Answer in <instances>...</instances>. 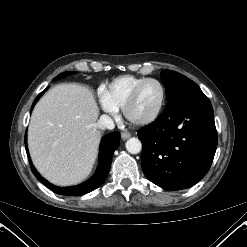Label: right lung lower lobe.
Instances as JSON below:
<instances>
[{
	"label": "right lung lower lobe",
	"mask_w": 247,
	"mask_h": 247,
	"mask_svg": "<svg viewBox=\"0 0 247 247\" xmlns=\"http://www.w3.org/2000/svg\"><path fill=\"white\" fill-rule=\"evenodd\" d=\"M48 89V87L42 91L38 97L33 102L32 108L33 109L35 103L38 101L40 96ZM27 137L25 136V144L27 143ZM120 144V133L119 132H112L105 137L102 138L101 145H100V153H99V165L97 168L96 173L86 182L79 184L77 186L73 187H57L48 181H46L35 169L33 166L28 148L26 147L27 155L30 161L31 169L33 174L36 176V178L42 182L47 188L52 190L53 192L61 195H68V196H78V195H84L86 193H89L96 188H98L106 179L111 162H112V155L114 153V150L118 148Z\"/></svg>",
	"instance_id": "98d812e1"
}]
</instances>
